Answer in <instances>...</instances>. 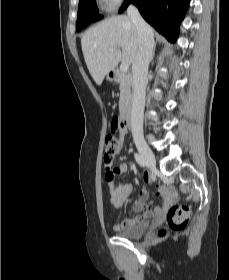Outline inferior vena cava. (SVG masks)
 <instances>
[{"mask_svg":"<svg viewBox=\"0 0 229 280\" xmlns=\"http://www.w3.org/2000/svg\"><path fill=\"white\" fill-rule=\"evenodd\" d=\"M127 14L135 25L138 34V51L132 64L133 73V102L131 111V131L133 136L143 135V113L147 73L151 60L154 35L150 26L143 20L138 9L130 5Z\"/></svg>","mask_w":229,"mask_h":280,"instance_id":"1","label":"inferior vena cava"}]
</instances>
